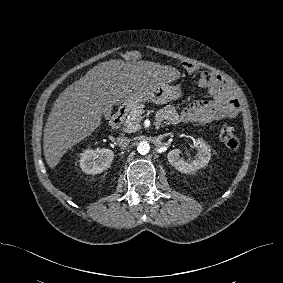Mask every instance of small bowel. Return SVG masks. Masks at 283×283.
Wrapping results in <instances>:
<instances>
[{
	"label": "small bowel",
	"instance_id": "1",
	"mask_svg": "<svg viewBox=\"0 0 283 283\" xmlns=\"http://www.w3.org/2000/svg\"><path fill=\"white\" fill-rule=\"evenodd\" d=\"M188 72L197 71V67L185 63ZM198 81L201 87L207 89L211 95L210 100H197L188 104L183 110L177 111L173 107L161 109L156 117L162 121L178 125L183 123L206 124L235 116L240 109V104L226 82L207 70L198 72Z\"/></svg>",
	"mask_w": 283,
	"mask_h": 283
}]
</instances>
